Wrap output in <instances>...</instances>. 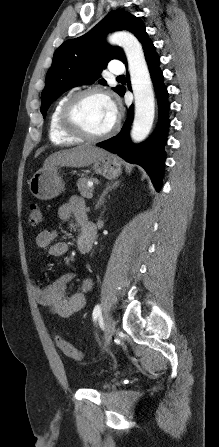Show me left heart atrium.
<instances>
[{
	"label": "left heart atrium",
	"mask_w": 219,
	"mask_h": 447,
	"mask_svg": "<svg viewBox=\"0 0 219 447\" xmlns=\"http://www.w3.org/2000/svg\"><path fill=\"white\" fill-rule=\"evenodd\" d=\"M109 103H110V108H111V112H112V114H113V117L116 119V118H117V115H118V109H117V106H116V104H115L114 102H112V101H109Z\"/></svg>",
	"instance_id": "39dd6f15"
}]
</instances>
